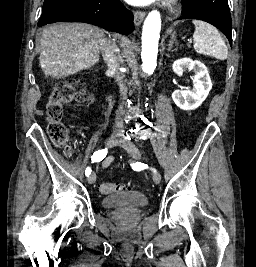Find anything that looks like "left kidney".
I'll use <instances>...</instances> for the list:
<instances>
[{
  "label": "left kidney",
  "instance_id": "left-kidney-1",
  "mask_svg": "<svg viewBox=\"0 0 256 267\" xmlns=\"http://www.w3.org/2000/svg\"><path fill=\"white\" fill-rule=\"evenodd\" d=\"M175 74H182L185 70H193L195 72L193 90H175L172 94V100L181 110H195L204 100H206L211 88L209 72L199 60H191V58H181L175 60L172 66Z\"/></svg>",
  "mask_w": 256,
  "mask_h": 267
}]
</instances>
